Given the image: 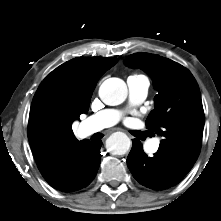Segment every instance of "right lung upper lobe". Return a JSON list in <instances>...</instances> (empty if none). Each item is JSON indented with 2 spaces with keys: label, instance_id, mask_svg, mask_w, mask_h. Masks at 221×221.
<instances>
[{
  "label": "right lung upper lobe",
  "instance_id": "obj_1",
  "mask_svg": "<svg viewBox=\"0 0 221 221\" xmlns=\"http://www.w3.org/2000/svg\"><path fill=\"white\" fill-rule=\"evenodd\" d=\"M115 57H77L47 75L30 109L28 139L42 175L57 170L87 140L78 141L72 123L87 113L98 79Z\"/></svg>",
  "mask_w": 221,
  "mask_h": 221
}]
</instances>
